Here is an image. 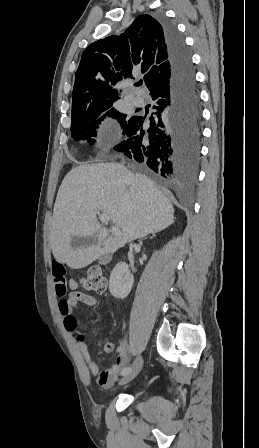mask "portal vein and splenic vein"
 <instances>
[{"instance_id":"1","label":"portal vein and splenic vein","mask_w":259,"mask_h":448,"mask_svg":"<svg viewBox=\"0 0 259 448\" xmlns=\"http://www.w3.org/2000/svg\"><path fill=\"white\" fill-rule=\"evenodd\" d=\"M99 220L100 222H104V224H108L109 220H110V216H108V214H99ZM112 232H114V234H121V232H119L118 228H116V226H114V228H112Z\"/></svg>"}]
</instances>
